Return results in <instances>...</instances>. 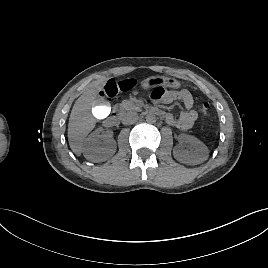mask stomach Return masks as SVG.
<instances>
[{"mask_svg": "<svg viewBox=\"0 0 268 268\" xmlns=\"http://www.w3.org/2000/svg\"><path fill=\"white\" fill-rule=\"evenodd\" d=\"M156 87L179 89L182 87V83L172 77L167 76H150L141 82V88L152 89Z\"/></svg>", "mask_w": 268, "mask_h": 268, "instance_id": "obj_1", "label": "stomach"}]
</instances>
